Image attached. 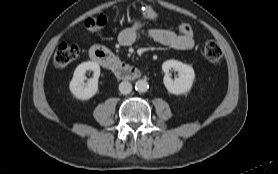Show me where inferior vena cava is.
I'll list each match as a JSON object with an SVG mask.
<instances>
[{"mask_svg": "<svg viewBox=\"0 0 278 174\" xmlns=\"http://www.w3.org/2000/svg\"><path fill=\"white\" fill-rule=\"evenodd\" d=\"M119 91L122 94H129L132 91V85L130 82L123 81L119 84Z\"/></svg>", "mask_w": 278, "mask_h": 174, "instance_id": "obj_1", "label": "inferior vena cava"}]
</instances>
